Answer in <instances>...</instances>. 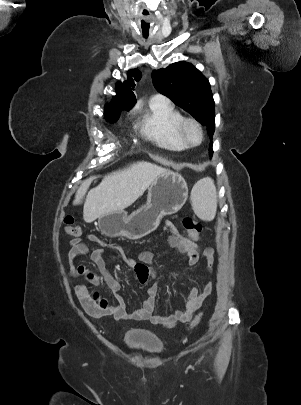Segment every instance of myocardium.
Masks as SVG:
<instances>
[{
  "mask_svg": "<svg viewBox=\"0 0 301 405\" xmlns=\"http://www.w3.org/2000/svg\"><path fill=\"white\" fill-rule=\"evenodd\" d=\"M188 126H194L198 130L199 135H200V139L198 142H192L188 138L187 133H186V129ZM178 133H179L181 139L183 140V142L187 146H190V147L198 146L204 140V131H203L202 125L200 124L199 121H197L195 118H192V117H182L181 118V120L178 124Z\"/></svg>",
  "mask_w": 301,
  "mask_h": 405,
  "instance_id": "1",
  "label": "myocardium"
}]
</instances>
